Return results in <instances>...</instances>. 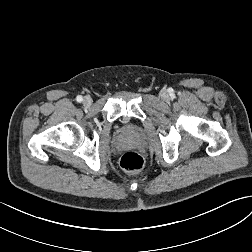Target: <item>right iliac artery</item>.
Here are the masks:
<instances>
[{"label": "right iliac artery", "mask_w": 252, "mask_h": 252, "mask_svg": "<svg viewBox=\"0 0 252 252\" xmlns=\"http://www.w3.org/2000/svg\"><path fill=\"white\" fill-rule=\"evenodd\" d=\"M76 100H77V102H82L83 98H82V96L79 95L76 97Z\"/></svg>", "instance_id": "82829eb1"}]
</instances>
